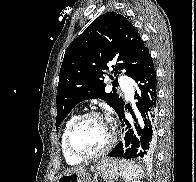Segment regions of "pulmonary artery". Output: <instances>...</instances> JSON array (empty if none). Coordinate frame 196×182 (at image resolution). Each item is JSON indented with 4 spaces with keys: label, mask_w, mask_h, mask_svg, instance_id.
Listing matches in <instances>:
<instances>
[{
    "label": "pulmonary artery",
    "mask_w": 196,
    "mask_h": 182,
    "mask_svg": "<svg viewBox=\"0 0 196 182\" xmlns=\"http://www.w3.org/2000/svg\"><path fill=\"white\" fill-rule=\"evenodd\" d=\"M121 82H122V87L126 93V96L128 98H131L132 97V94H133V91L130 87H128L130 85V79L125 77V76H122L121 77Z\"/></svg>",
    "instance_id": "pulmonary-artery-1"
}]
</instances>
